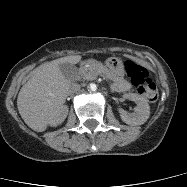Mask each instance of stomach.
<instances>
[{
  "mask_svg": "<svg viewBox=\"0 0 187 187\" xmlns=\"http://www.w3.org/2000/svg\"><path fill=\"white\" fill-rule=\"evenodd\" d=\"M105 65L112 74L114 81H118L124 76V65L120 58L110 57L106 60Z\"/></svg>",
  "mask_w": 187,
  "mask_h": 187,
  "instance_id": "obj_1",
  "label": "stomach"
}]
</instances>
